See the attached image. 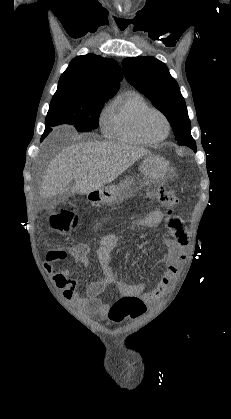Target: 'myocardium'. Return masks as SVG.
Segmentation results:
<instances>
[{"label": "myocardium", "instance_id": "myocardium-1", "mask_svg": "<svg viewBox=\"0 0 231 419\" xmlns=\"http://www.w3.org/2000/svg\"><path fill=\"white\" fill-rule=\"evenodd\" d=\"M151 112L158 113L164 119L165 124H166V132H165V134L162 137L158 138V139H152V138H150L145 133V131H144V127H143L144 120H145L146 116L149 113H151ZM136 128H137L138 134L140 135V137L146 143H148V144H157V143H160V142L164 141L169 136L170 131H171V124H170V121H169L167 115L163 111H161L160 109L155 108V107H148V108H146L145 110H143L139 114V116H138V118L136 120Z\"/></svg>", "mask_w": 231, "mask_h": 419}]
</instances>
